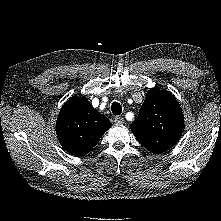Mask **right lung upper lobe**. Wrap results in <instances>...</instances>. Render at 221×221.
Listing matches in <instances>:
<instances>
[{
	"mask_svg": "<svg viewBox=\"0 0 221 221\" xmlns=\"http://www.w3.org/2000/svg\"><path fill=\"white\" fill-rule=\"evenodd\" d=\"M111 127L85 97H73L60 110L56 132L62 147L75 156L86 155Z\"/></svg>",
	"mask_w": 221,
	"mask_h": 221,
	"instance_id": "1",
	"label": "right lung upper lobe"
}]
</instances>
